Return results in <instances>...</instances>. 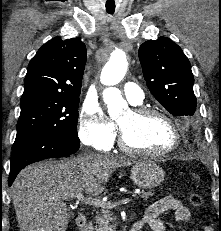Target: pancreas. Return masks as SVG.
Returning a JSON list of instances; mask_svg holds the SVG:
<instances>
[{"label": "pancreas", "instance_id": "cf45deb5", "mask_svg": "<svg viewBox=\"0 0 221 231\" xmlns=\"http://www.w3.org/2000/svg\"><path fill=\"white\" fill-rule=\"evenodd\" d=\"M140 196L144 200H147L150 196H152V193L141 191ZM95 220V231H116V225L111 224L114 221V217L113 214L110 213L109 208L103 207L100 212H97Z\"/></svg>", "mask_w": 221, "mask_h": 231}]
</instances>
